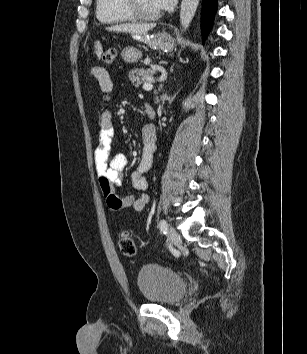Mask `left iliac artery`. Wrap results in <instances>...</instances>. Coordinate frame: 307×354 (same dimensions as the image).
I'll return each instance as SVG.
<instances>
[{"mask_svg": "<svg viewBox=\"0 0 307 354\" xmlns=\"http://www.w3.org/2000/svg\"><path fill=\"white\" fill-rule=\"evenodd\" d=\"M159 228H160V231H162L164 234L167 233L168 224H167L166 220L162 219L159 222Z\"/></svg>", "mask_w": 307, "mask_h": 354, "instance_id": "left-iliac-artery-1", "label": "left iliac artery"}]
</instances>
